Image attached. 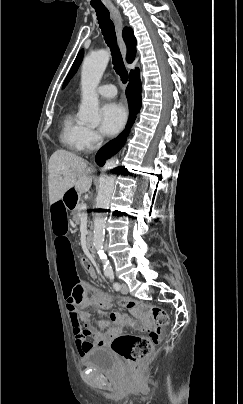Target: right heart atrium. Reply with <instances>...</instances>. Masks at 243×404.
Returning <instances> with one entry per match:
<instances>
[{
  "mask_svg": "<svg viewBox=\"0 0 243 404\" xmlns=\"http://www.w3.org/2000/svg\"><path fill=\"white\" fill-rule=\"evenodd\" d=\"M103 138L95 129L85 127L81 136V151H93L102 145Z\"/></svg>",
  "mask_w": 243,
  "mask_h": 404,
  "instance_id": "obj_1",
  "label": "right heart atrium"
}]
</instances>
